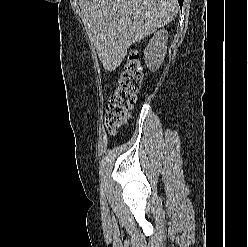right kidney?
Here are the masks:
<instances>
[{"mask_svg": "<svg viewBox=\"0 0 248 247\" xmlns=\"http://www.w3.org/2000/svg\"><path fill=\"white\" fill-rule=\"evenodd\" d=\"M168 33L165 29L157 31L144 50V60L150 70L156 71L163 63L167 51Z\"/></svg>", "mask_w": 248, "mask_h": 247, "instance_id": "right-kidney-1", "label": "right kidney"}]
</instances>
